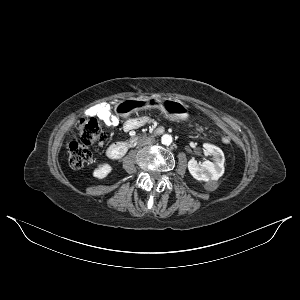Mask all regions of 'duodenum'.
<instances>
[{
    "label": "duodenum",
    "mask_w": 300,
    "mask_h": 300,
    "mask_svg": "<svg viewBox=\"0 0 300 300\" xmlns=\"http://www.w3.org/2000/svg\"><path fill=\"white\" fill-rule=\"evenodd\" d=\"M137 137H130L121 142L111 144L106 149V155L111 159L121 158L135 144Z\"/></svg>",
    "instance_id": "obj_1"
}]
</instances>
